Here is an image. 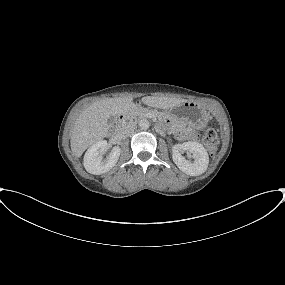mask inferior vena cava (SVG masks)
<instances>
[{"mask_svg":"<svg viewBox=\"0 0 285 285\" xmlns=\"http://www.w3.org/2000/svg\"><path fill=\"white\" fill-rule=\"evenodd\" d=\"M136 129V125L134 123H126L119 128V135L122 137H127Z\"/></svg>","mask_w":285,"mask_h":285,"instance_id":"inferior-vena-cava-1","label":"inferior vena cava"}]
</instances>
